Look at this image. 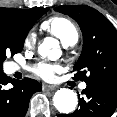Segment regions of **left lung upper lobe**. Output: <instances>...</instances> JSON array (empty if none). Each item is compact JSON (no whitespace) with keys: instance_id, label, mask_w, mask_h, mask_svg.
<instances>
[{"instance_id":"obj_1","label":"left lung upper lobe","mask_w":117,"mask_h":117,"mask_svg":"<svg viewBox=\"0 0 117 117\" xmlns=\"http://www.w3.org/2000/svg\"><path fill=\"white\" fill-rule=\"evenodd\" d=\"M80 26L82 53L74 66V79L86 84L96 81L117 82V31L101 13L86 5L56 7Z\"/></svg>"}]
</instances>
